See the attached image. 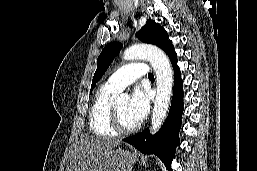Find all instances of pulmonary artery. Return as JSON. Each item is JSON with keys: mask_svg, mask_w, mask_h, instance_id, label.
<instances>
[{"mask_svg": "<svg viewBox=\"0 0 257 171\" xmlns=\"http://www.w3.org/2000/svg\"><path fill=\"white\" fill-rule=\"evenodd\" d=\"M148 75V67L143 62L128 63L116 70L106 84L114 90L120 91L134 83L142 76Z\"/></svg>", "mask_w": 257, "mask_h": 171, "instance_id": "e3ab8cb5", "label": "pulmonary artery"}]
</instances>
